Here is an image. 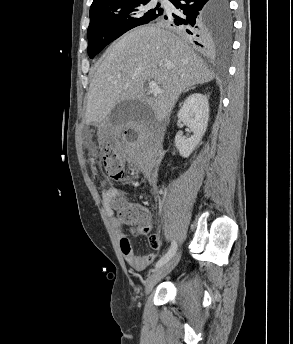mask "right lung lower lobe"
<instances>
[{
	"instance_id": "98d812e1",
	"label": "right lung lower lobe",
	"mask_w": 293,
	"mask_h": 344,
	"mask_svg": "<svg viewBox=\"0 0 293 344\" xmlns=\"http://www.w3.org/2000/svg\"><path fill=\"white\" fill-rule=\"evenodd\" d=\"M177 9L176 14L164 15L158 21H165L186 39L201 49L210 51L218 29L214 25V5L216 0H169ZM232 21L229 31L231 42Z\"/></svg>"
}]
</instances>
